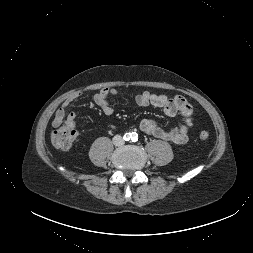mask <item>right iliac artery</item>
Returning a JSON list of instances; mask_svg holds the SVG:
<instances>
[{
    "label": "right iliac artery",
    "instance_id": "82829eb1",
    "mask_svg": "<svg viewBox=\"0 0 253 253\" xmlns=\"http://www.w3.org/2000/svg\"><path fill=\"white\" fill-rule=\"evenodd\" d=\"M130 138H131V134L130 133H126L124 135V140L128 141V140H130Z\"/></svg>",
    "mask_w": 253,
    "mask_h": 253
}]
</instances>
